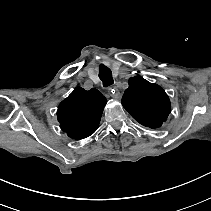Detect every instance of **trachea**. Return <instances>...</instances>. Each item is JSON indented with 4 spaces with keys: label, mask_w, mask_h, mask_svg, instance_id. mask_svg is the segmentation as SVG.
I'll list each match as a JSON object with an SVG mask.
<instances>
[{
    "label": "trachea",
    "mask_w": 211,
    "mask_h": 211,
    "mask_svg": "<svg viewBox=\"0 0 211 211\" xmlns=\"http://www.w3.org/2000/svg\"><path fill=\"white\" fill-rule=\"evenodd\" d=\"M98 76L101 79L104 87H108L113 84L111 70L102 63L99 65Z\"/></svg>",
    "instance_id": "obj_1"
}]
</instances>
